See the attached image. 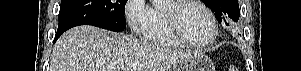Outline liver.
Segmentation results:
<instances>
[{"label": "liver", "instance_id": "6515ba94", "mask_svg": "<svg viewBox=\"0 0 301 71\" xmlns=\"http://www.w3.org/2000/svg\"><path fill=\"white\" fill-rule=\"evenodd\" d=\"M189 55L133 36L78 26L54 45L50 71H168Z\"/></svg>", "mask_w": 301, "mask_h": 71}]
</instances>
